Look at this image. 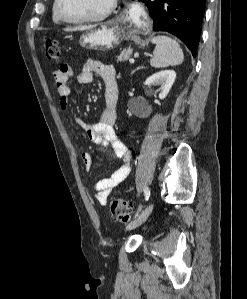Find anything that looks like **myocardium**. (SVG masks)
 <instances>
[{"label": "myocardium", "mask_w": 247, "mask_h": 299, "mask_svg": "<svg viewBox=\"0 0 247 299\" xmlns=\"http://www.w3.org/2000/svg\"><path fill=\"white\" fill-rule=\"evenodd\" d=\"M117 0H111L107 8L102 11L101 13L91 16V17H85V18H69L67 17L62 9H61V0H55L54 2V8L57 16L66 23L69 24H84V23H95L102 21L106 19L115 9Z\"/></svg>", "instance_id": "f54148a6"}]
</instances>
